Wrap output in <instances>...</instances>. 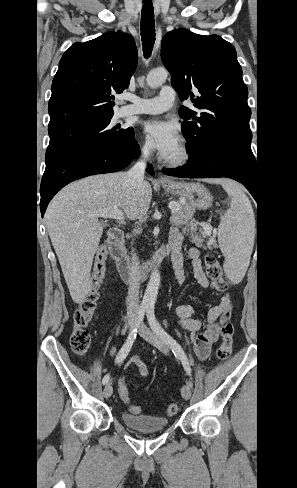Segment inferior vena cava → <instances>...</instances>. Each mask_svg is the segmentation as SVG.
<instances>
[{
  "label": "inferior vena cava",
  "mask_w": 297,
  "mask_h": 488,
  "mask_svg": "<svg viewBox=\"0 0 297 488\" xmlns=\"http://www.w3.org/2000/svg\"><path fill=\"white\" fill-rule=\"evenodd\" d=\"M150 155V148L145 146L142 149L141 158L132 166L127 172L128 182L136 187L143 183L144 174L146 169V162ZM132 264L130 269V283L128 288V294L126 298L127 303V316L135 318L139 313V288H140V271H139V259L132 248Z\"/></svg>",
  "instance_id": "602c4592"
}]
</instances>
